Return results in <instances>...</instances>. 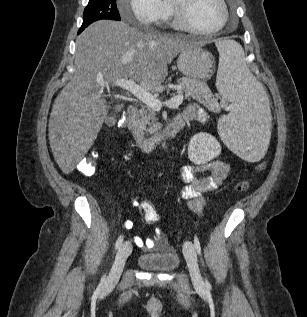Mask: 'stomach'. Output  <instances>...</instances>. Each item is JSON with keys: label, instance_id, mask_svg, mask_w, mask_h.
<instances>
[{"label": "stomach", "instance_id": "0dacf381", "mask_svg": "<svg viewBox=\"0 0 307 317\" xmlns=\"http://www.w3.org/2000/svg\"><path fill=\"white\" fill-rule=\"evenodd\" d=\"M177 66L186 77L205 81L211 77L214 58L199 45H191L180 52Z\"/></svg>", "mask_w": 307, "mask_h": 317}]
</instances>
